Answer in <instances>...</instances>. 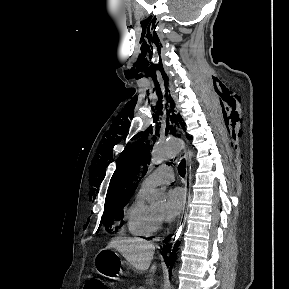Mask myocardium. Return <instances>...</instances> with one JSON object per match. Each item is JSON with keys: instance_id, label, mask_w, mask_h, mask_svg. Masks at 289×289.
<instances>
[{"instance_id": "myocardium-1", "label": "myocardium", "mask_w": 289, "mask_h": 289, "mask_svg": "<svg viewBox=\"0 0 289 289\" xmlns=\"http://www.w3.org/2000/svg\"><path fill=\"white\" fill-rule=\"evenodd\" d=\"M150 213L151 216L154 220V222L156 223L157 226H160L162 224V220L161 218L152 210V208L150 207Z\"/></svg>"}]
</instances>
